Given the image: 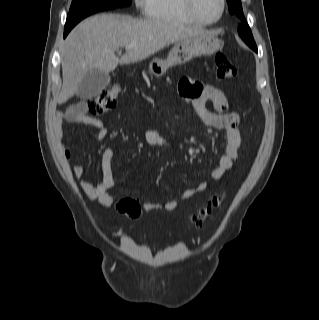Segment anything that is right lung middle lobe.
<instances>
[{"label": "right lung middle lobe", "mask_w": 319, "mask_h": 320, "mask_svg": "<svg viewBox=\"0 0 319 320\" xmlns=\"http://www.w3.org/2000/svg\"><path fill=\"white\" fill-rule=\"evenodd\" d=\"M131 1L132 0H72L65 29L73 28L83 18L99 11L129 6Z\"/></svg>", "instance_id": "1"}]
</instances>
